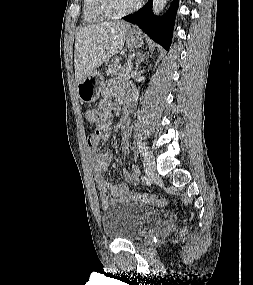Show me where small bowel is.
Wrapping results in <instances>:
<instances>
[{
    "mask_svg": "<svg viewBox=\"0 0 253 285\" xmlns=\"http://www.w3.org/2000/svg\"><path fill=\"white\" fill-rule=\"evenodd\" d=\"M126 87L118 80L108 81L101 92L102 99L99 102V108L96 111L97 119L94 122L95 131L88 137V147L90 150V160L94 179L100 194L103 209H108L117 203H123L130 200L131 191L128 184H136L139 179L138 171L134 168L131 173L123 170L126 183H109L103 176V173L109 168L112 154L109 150L98 152V144L106 140L110 135V115L113 110L112 100L118 97L121 102L127 103ZM123 141L121 151L126 154L129 150V121L128 118L122 121Z\"/></svg>",
    "mask_w": 253,
    "mask_h": 285,
    "instance_id": "c3829d8e",
    "label": "small bowel"
}]
</instances>
